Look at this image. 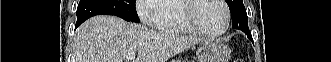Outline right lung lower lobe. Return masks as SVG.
Returning a JSON list of instances; mask_svg holds the SVG:
<instances>
[{
    "label": "right lung lower lobe",
    "instance_id": "98d812e1",
    "mask_svg": "<svg viewBox=\"0 0 331 62\" xmlns=\"http://www.w3.org/2000/svg\"><path fill=\"white\" fill-rule=\"evenodd\" d=\"M79 25L78 24H76V28L78 27Z\"/></svg>",
    "mask_w": 331,
    "mask_h": 62
}]
</instances>
